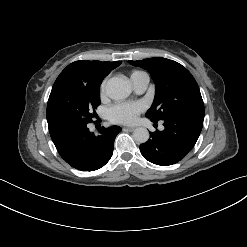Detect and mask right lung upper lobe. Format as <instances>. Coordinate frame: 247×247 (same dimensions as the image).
Returning a JSON list of instances; mask_svg holds the SVG:
<instances>
[{
    "label": "right lung upper lobe",
    "mask_w": 247,
    "mask_h": 247,
    "mask_svg": "<svg viewBox=\"0 0 247 247\" xmlns=\"http://www.w3.org/2000/svg\"><path fill=\"white\" fill-rule=\"evenodd\" d=\"M120 64L121 61H75L60 73L53 86L62 82H77L100 86L103 78Z\"/></svg>",
    "instance_id": "right-lung-upper-lobe-1"
}]
</instances>
